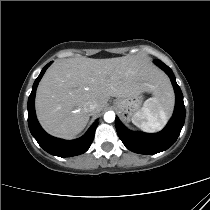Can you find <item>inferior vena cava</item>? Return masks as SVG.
I'll return each mask as SVG.
<instances>
[{
    "label": "inferior vena cava",
    "instance_id": "inferior-vena-cava-1",
    "mask_svg": "<svg viewBox=\"0 0 210 210\" xmlns=\"http://www.w3.org/2000/svg\"><path fill=\"white\" fill-rule=\"evenodd\" d=\"M97 109V103L96 102H89L88 104V111L90 113H93Z\"/></svg>",
    "mask_w": 210,
    "mask_h": 210
}]
</instances>
